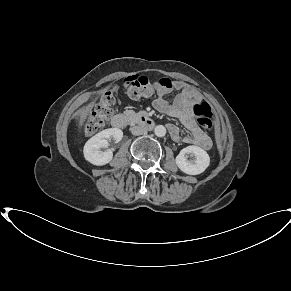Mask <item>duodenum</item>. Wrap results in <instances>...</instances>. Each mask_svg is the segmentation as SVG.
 <instances>
[{
  "label": "duodenum",
  "mask_w": 291,
  "mask_h": 291,
  "mask_svg": "<svg viewBox=\"0 0 291 291\" xmlns=\"http://www.w3.org/2000/svg\"><path fill=\"white\" fill-rule=\"evenodd\" d=\"M129 123V117L124 114H116L111 119V124L118 129L125 128ZM137 123L146 128H152L154 121L148 115H141L137 119Z\"/></svg>",
  "instance_id": "1"
}]
</instances>
